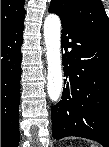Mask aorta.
I'll list each match as a JSON object with an SVG mask.
<instances>
[{
	"mask_svg": "<svg viewBox=\"0 0 109 147\" xmlns=\"http://www.w3.org/2000/svg\"><path fill=\"white\" fill-rule=\"evenodd\" d=\"M44 38L48 63V95L52 101L57 102L61 95L63 80L60 52L61 21L56 14H49L45 18Z\"/></svg>",
	"mask_w": 109,
	"mask_h": 147,
	"instance_id": "1",
	"label": "aorta"
}]
</instances>
